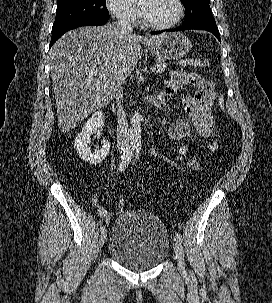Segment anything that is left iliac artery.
Instances as JSON below:
<instances>
[{
	"instance_id": "44dca946",
	"label": "left iliac artery",
	"mask_w": 272,
	"mask_h": 303,
	"mask_svg": "<svg viewBox=\"0 0 272 303\" xmlns=\"http://www.w3.org/2000/svg\"><path fill=\"white\" fill-rule=\"evenodd\" d=\"M135 149H136L135 150V157H136V159H139L140 150H141L140 144H137ZM176 238L179 239V241H182V235L180 233H176Z\"/></svg>"
}]
</instances>
